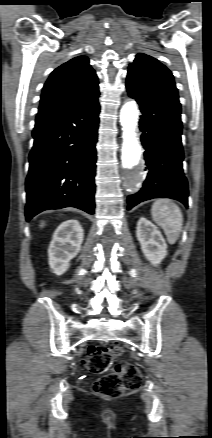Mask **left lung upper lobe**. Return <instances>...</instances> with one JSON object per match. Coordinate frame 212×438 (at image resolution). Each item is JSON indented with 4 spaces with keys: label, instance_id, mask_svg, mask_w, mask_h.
Segmentation results:
<instances>
[{
    "label": "left lung upper lobe",
    "instance_id": "1",
    "mask_svg": "<svg viewBox=\"0 0 212 438\" xmlns=\"http://www.w3.org/2000/svg\"><path fill=\"white\" fill-rule=\"evenodd\" d=\"M126 85L179 102L172 73L157 59L139 53L130 64Z\"/></svg>",
    "mask_w": 212,
    "mask_h": 438
}]
</instances>
